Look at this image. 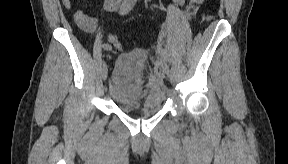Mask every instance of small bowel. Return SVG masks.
Masks as SVG:
<instances>
[{
    "label": "small bowel",
    "mask_w": 288,
    "mask_h": 164,
    "mask_svg": "<svg viewBox=\"0 0 288 164\" xmlns=\"http://www.w3.org/2000/svg\"><path fill=\"white\" fill-rule=\"evenodd\" d=\"M116 6H117L116 1H106L105 4H104V8L106 10H113V9L116 8ZM79 14L84 15L87 18V20H88V25H86L84 27V29L87 30V31H92L94 29V27H95V19L93 17H91V16L86 15L82 11H77L75 13V15H79ZM75 15H74V17H75Z\"/></svg>",
    "instance_id": "1"
}]
</instances>
